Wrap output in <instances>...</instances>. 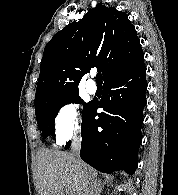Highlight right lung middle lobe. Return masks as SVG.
<instances>
[{"label": "right lung middle lobe", "mask_w": 178, "mask_h": 195, "mask_svg": "<svg viewBox=\"0 0 178 195\" xmlns=\"http://www.w3.org/2000/svg\"><path fill=\"white\" fill-rule=\"evenodd\" d=\"M82 100L79 97V94H72L67 97L49 100L42 103L41 105L35 108V114L37 119V124L42 131L43 139L51 135L54 130V121L55 117L58 114L59 110L66 104L69 103H81ZM90 103L83 104V114L89 108Z\"/></svg>", "instance_id": "right-lung-middle-lobe-1"}]
</instances>
